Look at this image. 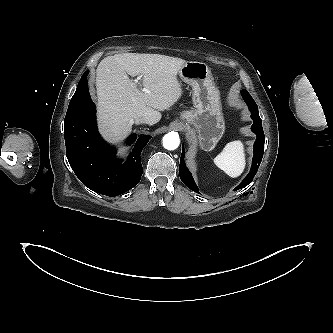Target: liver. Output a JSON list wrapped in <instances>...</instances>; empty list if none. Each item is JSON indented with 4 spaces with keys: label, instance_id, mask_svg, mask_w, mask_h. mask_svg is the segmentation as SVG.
<instances>
[{
    "label": "liver",
    "instance_id": "6515ba94",
    "mask_svg": "<svg viewBox=\"0 0 333 333\" xmlns=\"http://www.w3.org/2000/svg\"><path fill=\"white\" fill-rule=\"evenodd\" d=\"M185 63L181 58L160 54L122 53L104 58L96 70L101 133L117 142L131 131L137 117H146L149 125L159 122L160 111L182 95L177 74ZM128 75H142L147 92L139 90Z\"/></svg>",
    "mask_w": 333,
    "mask_h": 333
}]
</instances>
